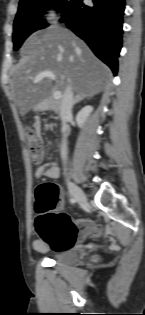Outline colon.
I'll use <instances>...</instances> for the list:
<instances>
[{
  "label": "colon",
  "instance_id": "5ec220e1",
  "mask_svg": "<svg viewBox=\"0 0 145 315\" xmlns=\"http://www.w3.org/2000/svg\"><path fill=\"white\" fill-rule=\"evenodd\" d=\"M27 145L32 160L40 163L43 159V145L38 133L26 129ZM61 202L60 188L53 182H45L36 188L35 211L37 214L35 227L37 234L48 246L66 249L88 235L98 233L99 229L89 220L73 221L67 214L59 210Z\"/></svg>",
  "mask_w": 145,
  "mask_h": 315
}]
</instances>
